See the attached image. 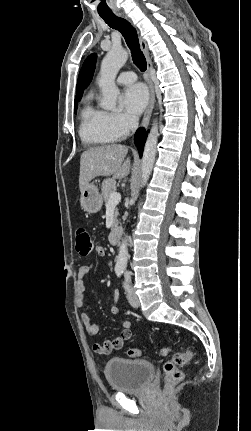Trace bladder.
Wrapping results in <instances>:
<instances>
[{
    "label": "bladder",
    "instance_id": "1",
    "mask_svg": "<svg viewBox=\"0 0 251 431\" xmlns=\"http://www.w3.org/2000/svg\"><path fill=\"white\" fill-rule=\"evenodd\" d=\"M154 365L146 360L113 358L106 362L104 374L111 389L122 393L144 391L152 381Z\"/></svg>",
    "mask_w": 251,
    "mask_h": 431
}]
</instances>
